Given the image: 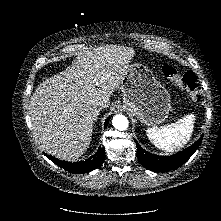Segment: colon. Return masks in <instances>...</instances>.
<instances>
[{"instance_id": "1", "label": "colon", "mask_w": 221, "mask_h": 221, "mask_svg": "<svg viewBox=\"0 0 221 221\" xmlns=\"http://www.w3.org/2000/svg\"><path fill=\"white\" fill-rule=\"evenodd\" d=\"M163 75L171 82L184 89L190 99H198L197 77L192 72L179 73L173 66L165 65L162 68Z\"/></svg>"}]
</instances>
